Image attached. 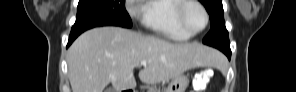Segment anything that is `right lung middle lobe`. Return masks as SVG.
Instances as JSON below:
<instances>
[{
  "instance_id": "right-lung-middle-lobe-1",
  "label": "right lung middle lobe",
  "mask_w": 296,
  "mask_h": 92,
  "mask_svg": "<svg viewBox=\"0 0 296 92\" xmlns=\"http://www.w3.org/2000/svg\"><path fill=\"white\" fill-rule=\"evenodd\" d=\"M104 25L132 27L125 0H79L76 22L72 28L85 31Z\"/></svg>"
}]
</instances>
